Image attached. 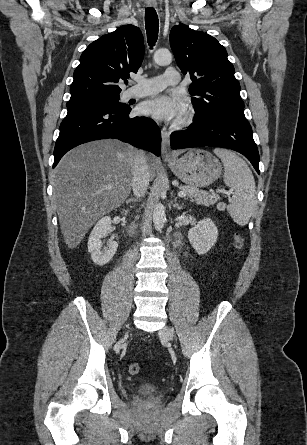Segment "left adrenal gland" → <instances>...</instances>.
<instances>
[{"label": "left adrenal gland", "instance_id": "a2214340", "mask_svg": "<svg viewBox=\"0 0 307 445\" xmlns=\"http://www.w3.org/2000/svg\"><path fill=\"white\" fill-rule=\"evenodd\" d=\"M177 198H174V200H171L173 206H176V208H182L181 204H178V202H176Z\"/></svg>", "mask_w": 307, "mask_h": 445}]
</instances>
